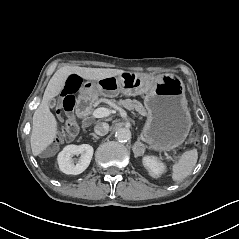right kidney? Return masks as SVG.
I'll return each instance as SVG.
<instances>
[{
  "label": "right kidney",
  "instance_id": "obj_1",
  "mask_svg": "<svg viewBox=\"0 0 239 239\" xmlns=\"http://www.w3.org/2000/svg\"><path fill=\"white\" fill-rule=\"evenodd\" d=\"M92 156V146L88 144L70 145L59 154L58 163L64 173L78 175L89 166Z\"/></svg>",
  "mask_w": 239,
  "mask_h": 239
}]
</instances>
